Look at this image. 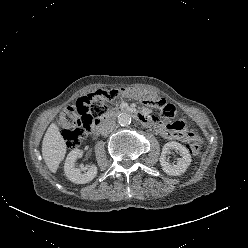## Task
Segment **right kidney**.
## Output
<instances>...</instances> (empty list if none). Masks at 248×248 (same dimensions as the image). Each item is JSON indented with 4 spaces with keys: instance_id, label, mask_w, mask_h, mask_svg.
Returning <instances> with one entry per match:
<instances>
[{
    "instance_id": "right-kidney-1",
    "label": "right kidney",
    "mask_w": 248,
    "mask_h": 248,
    "mask_svg": "<svg viewBox=\"0 0 248 248\" xmlns=\"http://www.w3.org/2000/svg\"><path fill=\"white\" fill-rule=\"evenodd\" d=\"M82 151L73 149L66 158L64 164V173L71 182L76 184H85L92 181L97 175V167L92 164L86 173H81L79 168L75 167V161L78 157L82 156Z\"/></svg>"
}]
</instances>
